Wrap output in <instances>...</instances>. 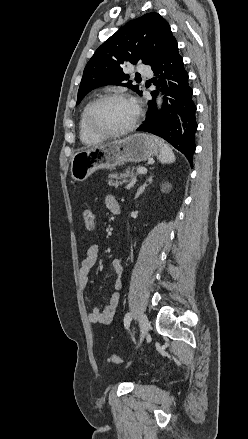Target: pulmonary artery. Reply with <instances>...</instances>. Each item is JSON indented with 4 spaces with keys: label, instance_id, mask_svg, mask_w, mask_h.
Instances as JSON below:
<instances>
[{
    "label": "pulmonary artery",
    "instance_id": "e3ab8cb5",
    "mask_svg": "<svg viewBox=\"0 0 248 439\" xmlns=\"http://www.w3.org/2000/svg\"><path fill=\"white\" fill-rule=\"evenodd\" d=\"M137 72L142 76L151 77L153 75L152 71L143 64H139L137 67Z\"/></svg>",
    "mask_w": 248,
    "mask_h": 439
}]
</instances>
